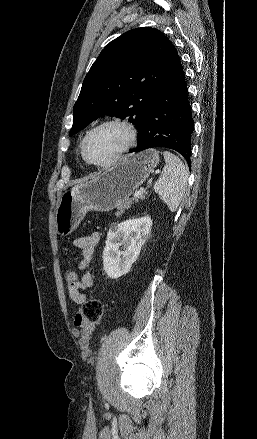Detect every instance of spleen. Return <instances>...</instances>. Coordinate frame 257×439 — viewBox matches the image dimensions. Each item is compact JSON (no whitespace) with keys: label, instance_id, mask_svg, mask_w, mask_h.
Here are the masks:
<instances>
[{"label":"spleen","instance_id":"spleen-1","mask_svg":"<svg viewBox=\"0 0 257 439\" xmlns=\"http://www.w3.org/2000/svg\"><path fill=\"white\" fill-rule=\"evenodd\" d=\"M166 165L159 180L154 184V191L167 204L171 212H175L187 188L188 170L174 154L164 151Z\"/></svg>","mask_w":257,"mask_h":439}]
</instances>
